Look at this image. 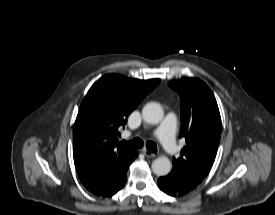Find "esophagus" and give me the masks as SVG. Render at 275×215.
I'll list each match as a JSON object with an SVG mask.
<instances>
[{
  "label": "esophagus",
  "mask_w": 275,
  "mask_h": 215,
  "mask_svg": "<svg viewBox=\"0 0 275 215\" xmlns=\"http://www.w3.org/2000/svg\"><path fill=\"white\" fill-rule=\"evenodd\" d=\"M141 152L148 158H154L156 156L155 153H152L150 151H148L147 149H142Z\"/></svg>",
  "instance_id": "1"
}]
</instances>
